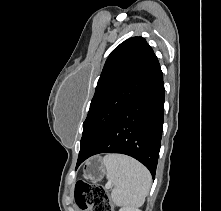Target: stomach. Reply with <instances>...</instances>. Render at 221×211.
<instances>
[{
	"label": "stomach",
	"mask_w": 221,
	"mask_h": 211,
	"mask_svg": "<svg viewBox=\"0 0 221 211\" xmlns=\"http://www.w3.org/2000/svg\"><path fill=\"white\" fill-rule=\"evenodd\" d=\"M83 173L86 179L97 182L100 181L106 173L105 166L100 157L89 159L84 166Z\"/></svg>",
	"instance_id": "obj_1"
}]
</instances>
